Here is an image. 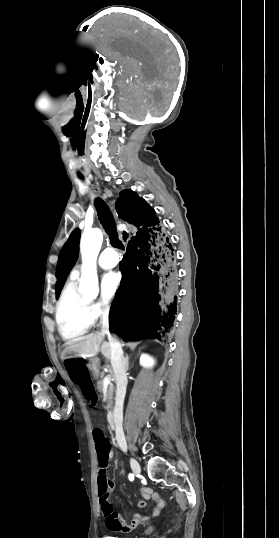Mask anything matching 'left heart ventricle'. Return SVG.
I'll list each match as a JSON object with an SVG mask.
<instances>
[{
    "label": "left heart ventricle",
    "instance_id": "1",
    "mask_svg": "<svg viewBox=\"0 0 279 538\" xmlns=\"http://www.w3.org/2000/svg\"><path fill=\"white\" fill-rule=\"evenodd\" d=\"M80 207H68V209H79Z\"/></svg>",
    "mask_w": 279,
    "mask_h": 538
}]
</instances>
